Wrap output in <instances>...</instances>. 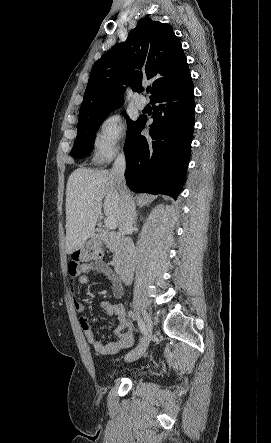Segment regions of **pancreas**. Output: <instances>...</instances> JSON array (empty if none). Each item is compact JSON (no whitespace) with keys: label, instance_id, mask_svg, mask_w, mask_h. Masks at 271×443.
<instances>
[{"label":"pancreas","instance_id":"cf45deb5","mask_svg":"<svg viewBox=\"0 0 271 443\" xmlns=\"http://www.w3.org/2000/svg\"><path fill=\"white\" fill-rule=\"evenodd\" d=\"M103 241H105L107 247H109L110 251H115V245L114 243H111V241H109L107 235H103L102 237Z\"/></svg>","mask_w":271,"mask_h":443}]
</instances>
